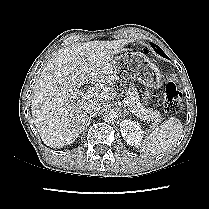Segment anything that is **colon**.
<instances>
[{
    "label": "colon",
    "mask_w": 209,
    "mask_h": 209,
    "mask_svg": "<svg viewBox=\"0 0 209 209\" xmlns=\"http://www.w3.org/2000/svg\"><path fill=\"white\" fill-rule=\"evenodd\" d=\"M182 105V93L174 82H168L164 90L163 108L166 114L172 115L179 111Z\"/></svg>",
    "instance_id": "1"
}]
</instances>
